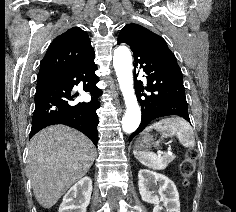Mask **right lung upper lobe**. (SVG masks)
Masks as SVG:
<instances>
[{"label":"right lung upper lobe","instance_id":"cb5924a9","mask_svg":"<svg viewBox=\"0 0 236 212\" xmlns=\"http://www.w3.org/2000/svg\"><path fill=\"white\" fill-rule=\"evenodd\" d=\"M94 53L85 31L73 27L56 37L40 64L38 75L72 69Z\"/></svg>","mask_w":236,"mask_h":212}]
</instances>
